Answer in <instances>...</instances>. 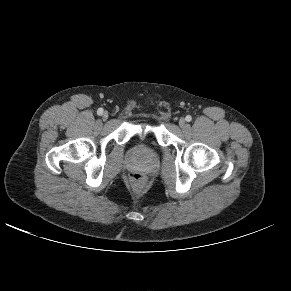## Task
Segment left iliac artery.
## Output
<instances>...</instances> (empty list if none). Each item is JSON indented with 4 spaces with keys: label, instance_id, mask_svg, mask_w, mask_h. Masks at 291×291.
<instances>
[{
    "label": "left iliac artery",
    "instance_id": "obj_1",
    "mask_svg": "<svg viewBox=\"0 0 291 291\" xmlns=\"http://www.w3.org/2000/svg\"><path fill=\"white\" fill-rule=\"evenodd\" d=\"M185 120H186L187 122H190V121L192 120V117H191L190 115H187L186 118H185Z\"/></svg>",
    "mask_w": 291,
    "mask_h": 291
}]
</instances>
